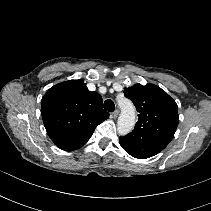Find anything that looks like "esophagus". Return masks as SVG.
I'll list each match as a JSON object with an SVG mask.
<instances>
[{
    "instance_id": "34e87169",
    "label": "esophagus",
    "mask_w": 211,
    "mask_h": 211,
    "mask_svg": "<svg viewBox=\"0 0 211 211\" xmlns=\"http://www.w3.org/2000/svg\"><path fill=\"white\" fill-rule=\"evenodd\" d=\"M118 115H119V110H118V109H116V110L111 114L112 118H114V119H116V118L118 117Z\"/></svg>"
}]
</instances>
